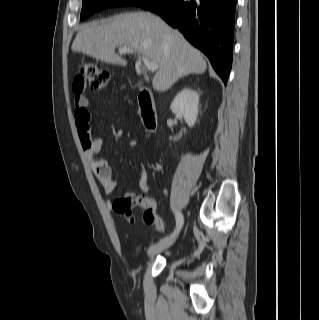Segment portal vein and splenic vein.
I'll list each match as a JSON object with an SVG mask.
<instances>
[{"mask_svg":"<svg viewBox=\"0 0 319 320\" xmlns=\"http://www.w3.org/2000/svg\"><path fill=\"white\" fill-rule=\"evenodd\" d=\"M119 53H134V51L128 47L121 46L119 47ZM141 61L146 65L147 69L151 72H155L158 69V65L155 62L150 61L148 58L142 56L140 57Z\"/></svg>","mask_w":319,"mask_h":320,"instance_id":"obj_1","label":"portal vein and splenic vein"}]
</instances>
